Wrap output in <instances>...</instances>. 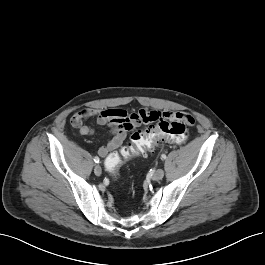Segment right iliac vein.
I'll return each instance as SVG.
<instances>
[{
  "label": "right iliac vein",
  "mask_w": 265,
  "mask_h": 265,
  "mask_svg": "<svg viewBox=\"0 0 265 265\" xmlns=\"http://www.w3.org/2000/svg\"><path fill=\"white\" fill-rule=\"evenodd\" d=\"M94 173H95V175H97V176H100V175H101V173H102V169H101V167H100L99 165H96V166H95V168H94Z\"/></svg>",
  "instance_id": "obj_1"
}]
</instances>
